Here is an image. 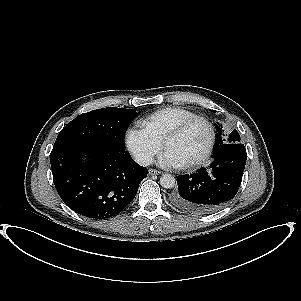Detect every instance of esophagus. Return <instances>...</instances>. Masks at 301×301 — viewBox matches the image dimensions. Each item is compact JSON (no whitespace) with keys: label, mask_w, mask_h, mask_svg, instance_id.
<instances>
[{"label":"esophagus","mask_w":301,"mask_h":301,"mask_svg":"<svg viewBox=\"0 0 301 301\" xmlns=\"http://www.w3.org/2000/svg\"><path fill=\"white\" fill-rule=\"evenodd\" d=\"M148 173H149V175H159V174H161L160 171L155 170V169H149Z\"/></svg>","instance_id":"esophagus-1"}]
</instances>
